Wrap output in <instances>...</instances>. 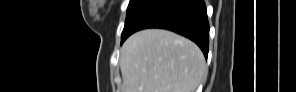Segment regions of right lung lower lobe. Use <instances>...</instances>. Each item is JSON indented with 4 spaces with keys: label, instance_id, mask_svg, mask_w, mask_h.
Returning a JSON list of instances; mask_svg holds the SVG:
<instances>
[{
    "label": "right lung lower lobe",
    "instance_id": "98d812e1",
    "mask_svg": "<svg viewBox=\"0 0 296 92\" xmlns=\"http://www.w3.org/2000/svg\"><path fill=\"white\" fill-rule=\"evenodd\" d=\"M145 28H163L194 41L207 58L209 50V23L203 0H154L137 18L130 32Z\"/></svg>",
    "mask_w": 296,
    "mask_h": 92
}]
</instances>
